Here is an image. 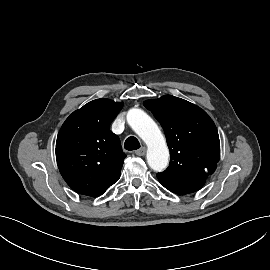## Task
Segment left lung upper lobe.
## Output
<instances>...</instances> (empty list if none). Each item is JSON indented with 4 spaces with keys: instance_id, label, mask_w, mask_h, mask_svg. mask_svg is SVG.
<instances>
[{
    "instance_id": "1",
    "label": "left lung upper lobe",
    "mask_w": 270,
    "mask_h": 270,
    "mask_svg": "<svg viewBox=\"0 0 270 270\" xmlns=\"http://www.w3.org/2000/svg\"><path fill=\"white\" fill-rule=\"evenodd\" d=\"M144 106L162 125L170 150L169 167L157 174L160 183L180 195L198 191L220 158L214 122L200 107L171 95L146 100Z\"/></svg>"
}]
</instances>
